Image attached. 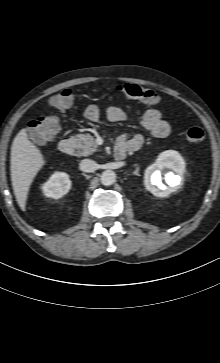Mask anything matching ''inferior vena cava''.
I'll use <instances>...</instances> for the list:
<instances>
[{"label":"inferior vena cava","instance_id":"602c4592","mask_svg":"<svg viewBox=\"0 0 220 363\" xmlns=\"http://www.w3.org/2000/svg\"><path fill=\"white\" fill-rule=\"evenodd\" d=\"M80 169L84 172L91 173L98 169V164L91 159H84L80 162Z\"/></svg>","mask_w":220,"mask_h":363}]
</instances>
